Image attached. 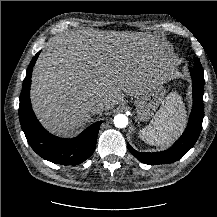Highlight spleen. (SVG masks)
Here are the masks:
<instances>
[{
	"instance_id": "1",
	"label": "spleen",
	"mask_w": 217,
	"mask_h": 217,
	"mask_svg": "<svg viewBox=\"0 0 217 217\" xmlns=\"http://www.w3.org/2000/svg\"><path fill=\"white\" fill-rule=\"evenodd\" d=\"M186 121L184 106L176 94H170L162 103L151 123L139 135L150 145H168L178 135Z\"/></svg>"
}]
</instances>
